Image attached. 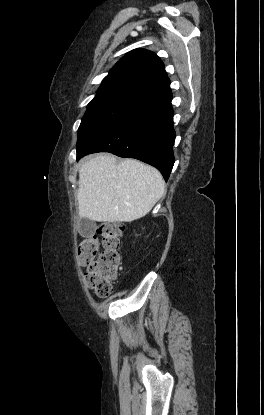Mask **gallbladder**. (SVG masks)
Instances as JSON below:
<instances>
[{
	"label": "gallbladder",
	"instance_id": "gallbladder-1",
	"mask_svg": "<svg viewBox=\"0 0 264 415\" xmlns=\"http://www.w3.org/2000/svg\"><path fill=\"white\" fill-rule=\"evenodd\" d=\"M94 222L88 218H82L80 221V234L84 237H90L94 232Z\"/></svg>",
	"mask_w": 264,
	"mask_h": 415
}]
</instances>
